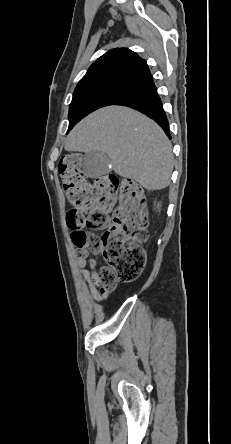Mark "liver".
<instances>
[{
  "instance_id": "6515ba94",
  "label": "liver",
  "mask_w": 231,
  "mask_h": 444,
  "mask_svg": "<svg viewBox=\"0 0 231 444\" xmlns=\"http://www.w3.org/2000/svg\"><path fill=\"white\" fill-rule=\"evenodd\" d=\"M66 151H101L116 174L147 190L170 184L172 145L163 130L144 114L124 106L101 108L80 121L66 138Z\"/></svg>"
}]
</instances>
